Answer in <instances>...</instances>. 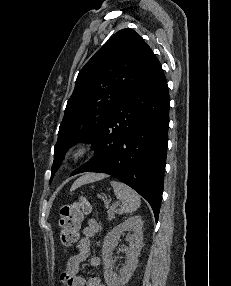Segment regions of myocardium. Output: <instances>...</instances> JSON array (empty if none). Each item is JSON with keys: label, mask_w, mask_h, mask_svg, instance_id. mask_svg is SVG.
I'll return each instance as SVG.
<instances>
[{"label": "myocardium", "mask_w": 231, "mask_h": 286, "mask_svg": "<svg viewBox=\"0 0 231 286\" xmlns=\"http://www.w3.org/2000/svg\"><path fill=\"white\" fill-rule=\"evenodd\" d=\"M94 150V145L90 141H82L73 145L66 154V160L70 164H77Z\"/></svg>", "instance_id": "f54148a6"}]
</instances>
